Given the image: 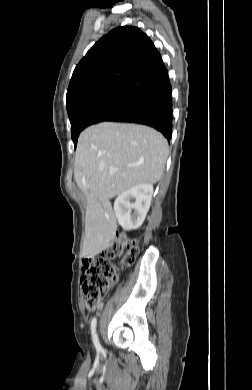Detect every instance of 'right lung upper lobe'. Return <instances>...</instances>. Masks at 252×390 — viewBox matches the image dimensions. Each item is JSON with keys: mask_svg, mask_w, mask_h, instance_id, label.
Returning a JSON list of instances; mask_svg holds the SVG:
<instances>
[{"mask_svg": "<svg viewBox=\"0 0 252 390\" xmlns=\"http://www.w3.org/2000/svg\"><path fill=\"white\" fill-rule=\"evenodd\" d=\"M168 77L160 53L146 34L132 26L115 28L76 66L66 94L67 112L101 97H136Z\"/></svg>", "mask_w": 252, "mask_h": 390, "instance_id": "1", "label": "right lung upper lobe"}]
</instances>
